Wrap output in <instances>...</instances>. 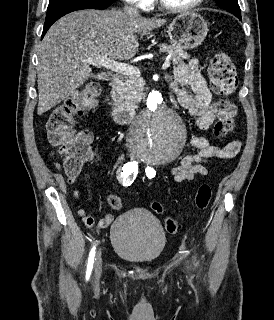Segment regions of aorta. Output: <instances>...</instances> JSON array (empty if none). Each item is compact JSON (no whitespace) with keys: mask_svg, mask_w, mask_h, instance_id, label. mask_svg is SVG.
I'll list each match as a JSON object with an SVG mask.
<instances>
[{"mask_svg":"<svg viewBox=\"0 0 274 320\" xmlns=\"http://www.w3.org/2000/svg\"><path fill=\"white\" fill-rule=\"evenodd\" d=\"M130 137L141 157L163 163L179 156L185 144L186 129L162 94L152 91L147 98V108L133 122Z\"/></svg>","mask_w":274,"mask_h":320,"instance_id":"1","label":"aorta"}]
</instances>
